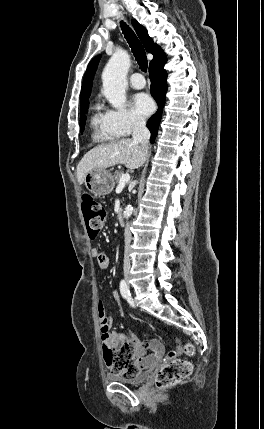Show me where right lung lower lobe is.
Wrapping results in <instances>:
<instances>
[{
  "label": "right lung lower lobe",
  "instance_id": "1",
  "mask_svg": "<svg viewBox=\"0 0 264 429\" xmlns=\"http://www.w3.org/2000/svg\"><path fill=\"white\" fill-rule=\"evenodd\" d=\"M167 61L165 53L160 55L149 65V75L151 79V95L158 104L157 112L148 120L147 127L151 131L150 141L153 143L158 133V127L161 121L162 110L165 103L167 92V73L164 65Z\"/></svg>",
  "mask_w": 264,
  "mask_h": 429
}]
</instances>
